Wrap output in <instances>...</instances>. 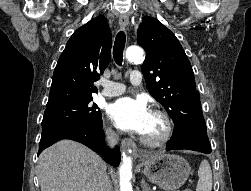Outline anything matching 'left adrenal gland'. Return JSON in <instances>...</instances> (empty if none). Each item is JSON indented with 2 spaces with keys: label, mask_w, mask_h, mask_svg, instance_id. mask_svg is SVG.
<instances>
[{
  "label": "left adrenal gland",
  "mask_w": 251,
  "mask_h": 191,
  "mask_svg": "<svg viewBox=\"0 0 251 191\" xmlns=\"http://www.w3.org/2000/svg\"><path fill=\"white\" fill-rule=\"evenodd\" d=\"M141 185L143 187V191H151L150 187H148V183H146L145 179H142Z\"/></svg>",
  "instance_id": "a2214340"
}]
</instances>
